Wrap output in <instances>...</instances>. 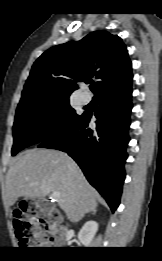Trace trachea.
I'll return each mask as SVG.
<instances>
[{
	"label": "trachea",
	"instance_id": "3493384b",
	"mask_svg": "<svg viewBox=\"0 0 162 261\" xmlns=\"http://www.w3.org/2000/svg\"><path fill=\"white\" fill-rule=\"evenodd\" d=\"M90 89H91L92 92H94L96 87L95 86H90Z\"/></svg>",
	"mask_w": 162,
	"mask_h": 261
}]
</instances>
